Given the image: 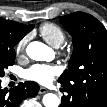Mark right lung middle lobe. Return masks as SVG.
I'll return each instance as SVG.
<instances>
[{
  "label": "right lung middle lobe",
  "instance_id": "1",
  "mask_svg": "<svg viewBox=\"0 0 107 107\" xmlns=\"http://www.w3.org/2000/svg\"><path fill=\"white\" fill-rule=\"evenodd\" d=\"M15 61V51H3L0 53V77H3L5 72L4 70L8 68V66L13 65Z\"/></svg>",
  "mask_w": 107,
  "mask_h": 107
}]
</instances>
